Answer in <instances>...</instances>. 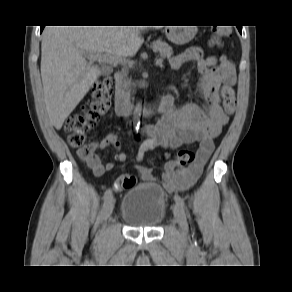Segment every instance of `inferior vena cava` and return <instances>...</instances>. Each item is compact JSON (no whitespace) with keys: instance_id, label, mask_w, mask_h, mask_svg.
<instances>
[{"instance_id":"inferior-vena-cava-1","label":"inferior vena cava","mask_w":292,"mask_h":292,"mask_svg":"<svg viewBox=\"0 0 292 292\" xmlns=\"http://www.w3.org/2000/svg\"><path fill=\"white\" fill-rule=\"evenodd\" d=\"M128 97L125 96V103H128Z\"/></svg>"}]
</instances>
